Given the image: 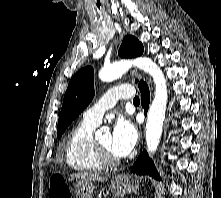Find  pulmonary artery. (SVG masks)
Instances as JSON below:
<instances>
[{
    "label": "pulmonary artery",
    "mask_w": 221,
    "mask_h": 198,
    "mask_svg": "<svg viewBox=\"0 0 221 198\" xmlns=\"http://www.w3.org/2000/svg\"><path fill=\"white\" fill-rule=\"evenodd\" d=\"M134 96V89L129 85L116 86L108 90L100 100L83 114V120L100 124L103 114L112 108L119 99H129Z\"/></svg>",
    "instance_id": "pulmonary-artery-1"
}]
</instances>
